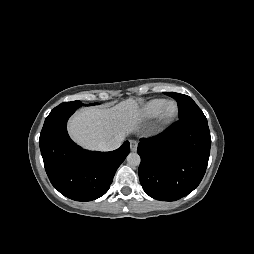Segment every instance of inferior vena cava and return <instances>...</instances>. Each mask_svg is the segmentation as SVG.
Returning <instances> with one entry per match:
<instances>
[{
  "instance_id": "602c4592",
  "label": "inferior vena cava",
  "mask_w": 254,
  "mask_h": 254,
  "mask_svg": "<svg viewBox=\"0 0 254 254\" xmlns=\"http://www.w3.org/2000/svg\"><path fill=\"white\" fill-rule=\"evenodd\" d=\"M122 136H117L109 141L102 142L98 145L99 151H112L119 148L123 142Z\"/></svg>"
}]
</instances>
